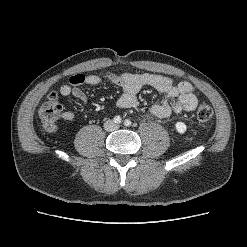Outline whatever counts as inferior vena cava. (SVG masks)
I'll return each instance as SVG.
<instances>
[{"label":"inferior vena cava","instance_id":"602c4592","mask_svg":"<svg viewBox=\"0 0 247 247\" xmlns=\"http://www.w3.org/2000/svg\"><path fill=\"white\" fill-rule=\"evenodd\" d=\"M107 124H113L111 121H107ZM106 130H111V129H109V128H107V125H106Z\"/></svg>","mask_w":247,"mask_h":247}]
</instances>
